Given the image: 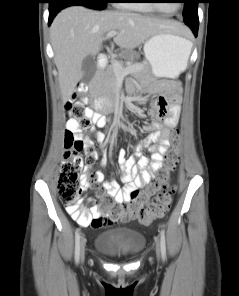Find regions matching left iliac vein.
<instances>
[{"mask_svg": "<svg viewBox=\"0 0 239 296\" xmlns=\"http://www.w3.org/2000/svg\"><path fill=\"white\" fill-rule=\"evenodd\" d=\"M160 251H159V246L157 245V256H159Z\"/></svg>", "mask_w": 239, "mask_h": 296, "instance_id": "1", "label": "left iliac vein"}]
</instances>
